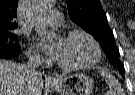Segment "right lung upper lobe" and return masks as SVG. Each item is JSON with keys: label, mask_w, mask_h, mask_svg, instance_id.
<instances>
[{"label": "right lung upper lobe", "mask_w": 135, "mask_h": 95, "mask_svg": "<svg viewBox=\"0 0 135 95\" xmlns=\"http://www.w3.org/2000/svg\"><path fill=\"white\" fill-rule=\"evenodd\" d=\"M17 6L18 0H0V31L17 28Z\"/></svg>", "instance_id": "obj_1"}]
</instances>
